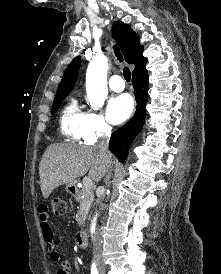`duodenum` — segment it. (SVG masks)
<instances>
[{
    "label": "duodenum",
    "instance_id": "duodenum-1",
    "mask_svg": "<svg viewBox=\"0 0 221 274\" xmlns=\"http://www.w3.org/2000/svg\"><path fill=\"white\" fill-rule=\"evenodd\" d=\"M72 193L77 196L78 195V189L77 188H73L72 189ZM76 243L78 244V246L84 248L87 246L88 243V236H87V232L85 229L80 230L77 235H76Z\"/></svg>",
    "mask_w": 221,
    "mask_h": 274
}]
</instances>
